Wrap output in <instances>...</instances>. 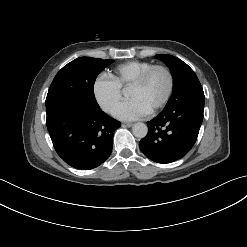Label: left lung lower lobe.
<instances>
[{
  "label": "left lung lower lobe",
  "mask_w": 247,
  "mask_h": 247,
  "mask_svg": "<svg viewBox=\"0 0 247 247\" xmlns=\"http://www.w3.org/2000/svg\"><path fill=\"white\" fill-rule=\"evenodd\" d=\"M203 111V98H190L163 109L147 122L148 134L139 142L141 152L162 164L182 158L196 142Z\"/></svg>",
  "instance_id": "1"
}]
</instances>
